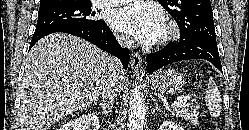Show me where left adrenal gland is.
I'll return each instance as SVG.
<instances>
[{"instance_id": "obj_1", "label": "left adrenal gland", "mask_w": 249, "mask_h": 130, "mask_svg": "<svg viewBox=\"0 0 249 130\" xmlns=\"http://www.w3.org/2000/svg\"><path fill=\"white\" fill-rule=\"evenodd\" d=\"M153 100L156 102L155 99H153ZM156 111L161 112V109L159 108L158 102H156V106L154 107L152 114H155Z\"/></svg>"}]
</instances>
